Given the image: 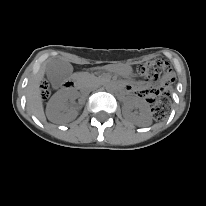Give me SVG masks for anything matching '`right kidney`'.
Segmentation results:
<instances>
[{
  "label": "right kidney",
  "instance_id": "obj_1",
  "mask_svg": "<svg viewBox=\"0 0 206 206\" xmlns=\"http://www.w3.org/2000/svg\"><path fill=\"white\" fill-rule=\"evenodd\" d=\"M76 98L75 93H56L49 100L46 107L48 119L55 123H65L76 118L77 111L69 108L68 99Z\"/></svg>",
  "mask_w": 206,
  "mask_h": 206
}]
</instances>
